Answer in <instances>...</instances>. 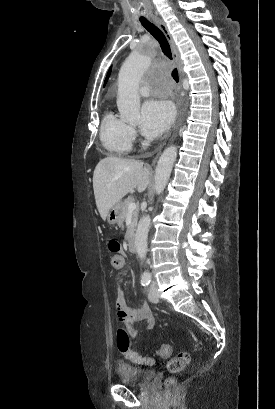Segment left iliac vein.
Returning <instances> with one entry per match:
<instances>
[{
	"label": "left iliac vein",
	"mask_w": 275,
	"mask_h": 409,
	"mask_svg": "<svg viewBox=\"0 0 275 409\" xmlns=\"http://www.w3.org/2000/svg\"><path fill=\"white\" fill-rule=\"evenodd\" d=\"M148 299L152 303H157L160 299L156 285L153 283L149 289Z\"/></svg>",
	"instance_id": "obj_1"
}]
</instances>
